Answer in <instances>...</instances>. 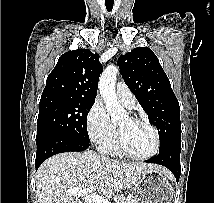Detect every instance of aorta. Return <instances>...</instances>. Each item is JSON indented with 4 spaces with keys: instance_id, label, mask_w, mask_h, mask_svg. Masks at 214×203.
Returning <instances> with one entry per match:
<instances>
[{
    "instance_id": "obj_1",
    "label": "aorta",
    "mask_w": 214,
    "mask_h": 203,
    "mask_svg": "<svg viewBox=\"0 0 214 203\" xmlns=\"http://www.w3.org/2000/svg\"><path fill=\"white\" fill-rule=\"evenodd\" d=\"M119 70L114 65H109L103 71L99 79V90L103 98L106 110L112 121H117L126 116L124 108L118 103L115 93L116 76Z\"/></svg>"
}]
</instances>
